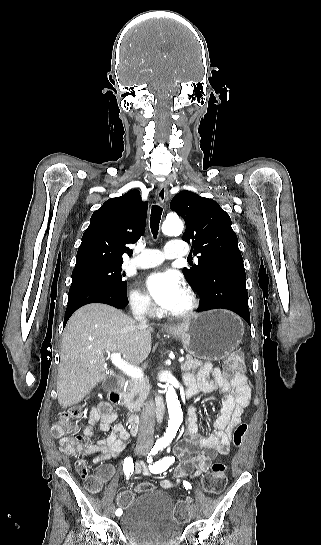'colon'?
<instances>
[{
  "mask_svg": "<svg viewBox=\"0 0 321 545\" xmlns=\"http://www.w3.org/2000/svg\"><path fill=\"white\" fill-rule=\"evenodd\" d=\"M224 371L231 378H239L244 376L245 366L239 357H229L224 361ZM84 415L81 408H74L64 411L59 414L57 421L52 427V434L57 438L60 451L64 454L72 455L80 445L82 436L79 434L81 424L80 421ZM247 431L245 423H237L231 430L233 443L240 446L244 435ZM76 469L80 477L84 480L86 489L91 493H97L102 488V480L97 475L88 474L87 468L83 461L76 463ZM227 481L226 468L220 462L214 463L210 470L203 478L204 490L213 495L220 494ZM154 489L150 483H142L138 486V492H144ZM134 500V493L125 491L121 493L117 500V506L122 511L128 507ZM174 515L180 522H186L189 519V506L187 501L179 502L174 509Z\"/></svg>",
  "mask_w": 321,
  "mask_h": 545,
  "instance_id": "obj_1",
  "label": "colon"
}]
</instances>
